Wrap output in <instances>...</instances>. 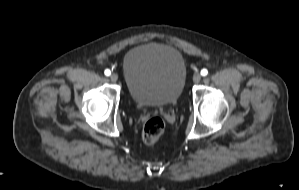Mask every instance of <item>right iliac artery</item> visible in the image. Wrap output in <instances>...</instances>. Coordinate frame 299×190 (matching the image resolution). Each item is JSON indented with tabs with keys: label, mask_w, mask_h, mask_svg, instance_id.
<instances>
[{
	"label": "right iliac artery",
	"mask_w": 299,
	"mask_h": 190,
	"mask_svg": "<svg viewBox=\"0 0 299 190\" xmlns=\"http://www.w3.org/2000/svg\"><path fill=\"white\" fill-rule=\"evenodd\" d=\"M104 73H105L106 76H109V75L111 74V71H110L109 69H106V70L104 71Z\"/></svg>",
	"instance_id": "1"
}]
</instances>
